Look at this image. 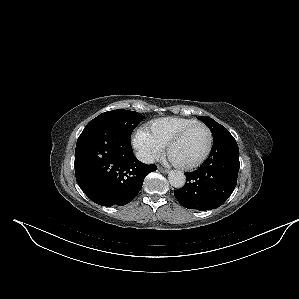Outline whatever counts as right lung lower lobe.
<instances>
[{
  "label": "right lung lower lobe",
  "mask_w": 299,
  "mask_h": 299,
  "mask_svg": "<svg viewBox=\"0 0 299 299\" xmlns=\"http://www.w3.org/2000/svg\"><path fill=\"white\" fill-rule=\"evenodd\" d=\"M155 170V165L144 164L133 155L130 137L109 124L88 123L77 140L76 180L96 204H128L146 175Z\"/></svg>",
  "instance_id": "right-lung-lower-lobe-1"
}]
</instances>
